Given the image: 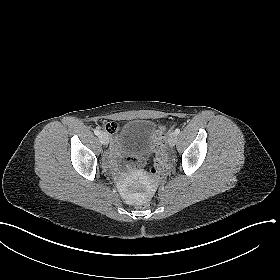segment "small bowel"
<instances>
[{
    "label": "small bowel",
    "instance_id": "obj_1",
    "mask_svg": "<svg viewBox=\"0 0 280 280\" xmlns=\"http://www.w3.org/2000/svg\"><path fill=\"white\" fill-rule=\"evenodd\" d=\"M107 161H108L109 163L112 161V155H111V154L108 156ZM126 161H127L128 163H132V162L136 161V159H135L134 157H127V158H126ZM141 161H142V160H141Z\"/></svg>",
    "mask_w": 280,
    "mask_h": 280
}]
</instances>
